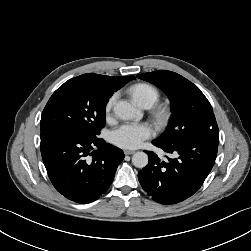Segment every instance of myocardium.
Wrapping results in <instances>:
<instances>
[{
	"label": "myocardium",
	"instance_id": "obj_1",
	"mask_svg": "<svg viewBox=\"0 0 251 251\" xmlns=\"http://www.w3.org/2000/svg\"><path fill=\"white\" fill-rule=\"evenodd\" d=\"M156 115L160 120H163L167 116V111L164 108H160L157 110Z\"/></svg>",
	"mask_w": 251,
	"mask_h": 251
}]
</instances>
